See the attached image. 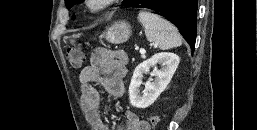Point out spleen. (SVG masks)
I'll use <instances>...</instances> for the list:
<instances>
[{"label":"spleen","instance_id":"3e777b00","mask_svg":"<svg viewBox=\"0 0 257 130\" xmlns=\"http://www.w3.org/2000/svg\"><path fill=\"white\" fill-rule=\"evenodd\" d=\"M138 20L143 25L146 38L161 50L181 46L182 38L177 28L157 14L140 11Z\"/></svg>","mask_w":257,"mask_h":130}]
</instances>
